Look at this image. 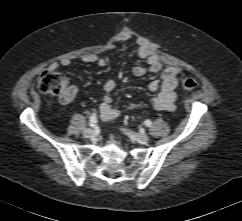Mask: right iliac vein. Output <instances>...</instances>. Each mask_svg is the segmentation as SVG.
Wrapping results in <instances>:
<instances>
[{"label": "right iliac vein", "instance_id": "63e3f726", "mask_svg": "<svg viewBox=\"0 0 242 221\" xmlns=\"http://www.w3.org/2000/svg\"><path fill=\"white\" fill-rule=\"evenodd\" d=\"M94 130L93 129H85L84 131H83V136L85 137V138H91V137H93L94 136Z\"/></svg>", "mask_w": 242, "mask_h": 221}]
</instances>
